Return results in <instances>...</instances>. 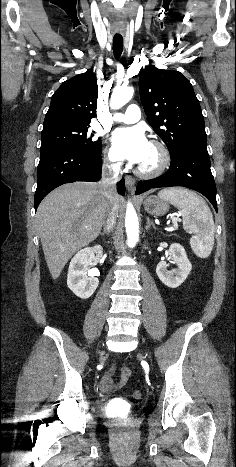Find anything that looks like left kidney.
<instances>
[{"label": "left kidney", "mask_w": 236, "mask_h": 467, "mask_svg": "<svg viewBox=\"0 0 236 467\" xmlns=\"http://www.w3.org/2000/svg\"><path fill=\"white\" fill-rule=\"evenodd\" d=\"M171 260L177 264V269L173 272L167 270L168 264L164 261L158 263L156 273L159 279L169 288L179 287L188 277L192 270V265L188 260L183 246L173 243L169 248Z\"/></svg>", "instance_id": "left-kidney-1"}]
</instances>
